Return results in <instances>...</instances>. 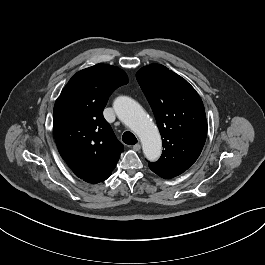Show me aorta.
<instances>
[{
	"label": "aorta",
	"mask_w": 265,
	"mask_h": 265,
	"mask_svg": "<svg viewBox=\"0 0 265 265\" xmlns=\"http://www.w3.org/2000/svg\"><path fill=\"white\" fill-rule=\"evenodd\" d=\"M113 107L118 118L140 138L145 157L156 161L162 152L160 133L141 105L130 97L120 96L115 99Z\"/></svg>",
	"instance_id": "762f6f07"
}]
</instances>
